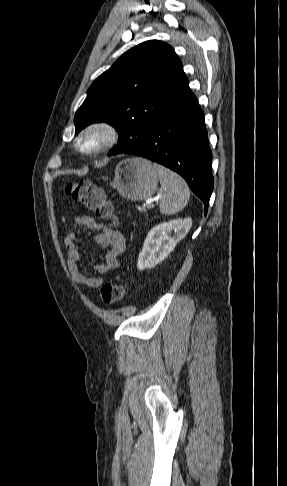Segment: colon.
Returning a JSON list of instances; mask_svg holds the SVG:
<instances>
[{
  "label": "colon",
  "mask_w": 287,
  "mask_h": 486,
  "mask_svg": "<svg viewBox=\"0 0 287 486\" xmlns=\"http://www.w3.org/2000/svg\"><path fill=\"white\" fill-rule=\"evenodd\" d=\"M65 193L76 202L106 219L111 225L116 223L113 206L107 199L104 189L89 180L82 179L64 185ZM125 285L120 282H108L100 290V297L104 305H112L123 299Z\"/></svg>",
  "instance_id": "colon-1"
}]
</instances>
